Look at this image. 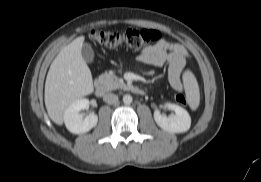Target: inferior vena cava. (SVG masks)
Here are the masks:
<instances>
[{"label":"inferior vena cava","mask_w":261,"mask_h":182,"mask_svg":"<svg viewBox=\"0 0 261 182\" xmlns=\"http://www.w3.org/2000/svg\"><path fill=\"white\" fill-rule=\"evenodd\" d=\"M103 100L108 104H115L118 102V96L113 93H107L103 96Z\"/></svg>","instance_id":"1"}]
</instances>
